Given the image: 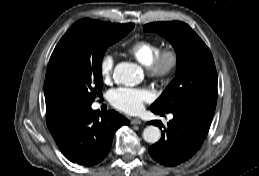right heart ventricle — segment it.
<instances>
[{"label": "right heart ventricle", "instance_id": "right-heart-ventricle-1", "mask_svg": "<svg viewBox=\"0 0 259 176\" xmlns=\"http://www.w3.org/2000/svg\"><path fill=\"white\" fill-rule=\"evenodd\" d=\"M161 50V44L151 39H138L127 48V52L139 63L148 66Z\"/></svg>", "mask_w": 259, "mask_h": 176}]
</instances>
